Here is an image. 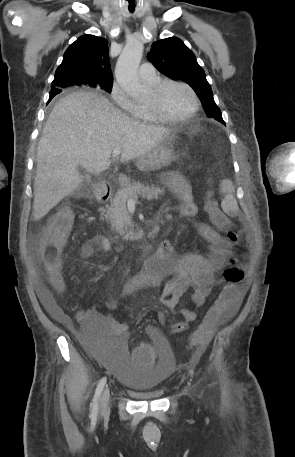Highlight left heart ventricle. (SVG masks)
Returning a JSON list of instances; mask_svg holds the SVG:
<instances>
[{"mask_svg":"<svg viewBox=\"0 0 295 457\" xmlns=\"http://www.w3.org/2000/svg\"><path fill=\"white\" fill-rule=\"evenodd\" d=\"M154 100L151 91L148 102ZM161 111L169 117H181L190 112L193 107L192 97L187 89L177 85L167 86L158 98Z\"/></svg>","mask_w":295,"mask_h":457,"instance_id":"left-heart-ventricle-1","label":"left heart ventricle"}]
</instances>
